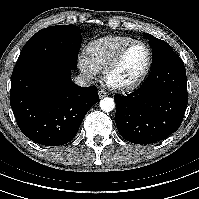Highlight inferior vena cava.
Instances as JSON below:
<instances>
[{
	"instance_id": "602c4592",
	"label": "inferior vena cava",
	"mask_w": 199,
	"mask_h": 199,
	"mask_svg": "<svg viewBox=\"0 0 199 199\" xmlns=\"http://www.w3.org/2000/svg\"><path fill=\"white\" fill-rule=\"evenodd\" d=\"M74 82L81 87H89L93 84L92 79L84 74H80L74 78Z\"/></svg>"
}]
</instances>
